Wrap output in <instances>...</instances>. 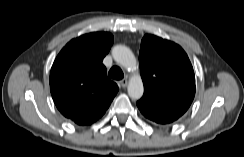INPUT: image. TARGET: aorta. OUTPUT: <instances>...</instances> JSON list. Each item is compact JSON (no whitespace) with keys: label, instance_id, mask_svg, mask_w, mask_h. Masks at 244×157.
<instances>
[{"label":"aorta","instance_id":"1","mask_svg":"<svg viewBox=\"0 0 244 157\" xmlns=\"http://www.w3.org/2000/svg\"><path fill=\"white\" fill-rule=\"evenodd\" d=\"M112 56L114 60L125 67L126 69H131L136 65V59L132 51L124 46L117 45L112 49ZM128 95L132 99H140L144 92V86L142 79L139 75H133L128 84Z\"/></svg>","mask_w":244,"mask_h":157}]
</instances>
